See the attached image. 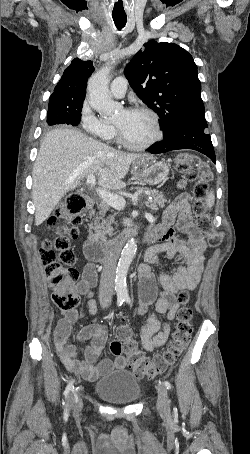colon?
<instances>
[{"mask_svg": "<svg viewBox=\"0 0 250 454\" xmlns=\"http://www.w3.org/2000/svg\"><path fill=\"white\" fill-rule=\"evenodd\" d=\"M178 170L186 181L197 180L193 188V210L196 223L207 236L212 247L218 246L223 234L215 230L203 203L208 183L212 179L210 166L199 156L192 153H181L176 157ZM86 208L85 198L77 193L67 196L47 221L45 231L55 237L43 242L40 257L44 266L48 286L52 292L54 304L63 311H72L79 304V296L75 291V283L79 278L76 267L77 258L70 248V242L77 238V226L81 223V213ZM190 296L187 291L178 294L182 305L177 314V324L166 351L148 359L138 350L132 338L130 328L123 324L118 328L117 340L110 344V351L115 356L125 355L128 365L137 376L154 378L165 371L185 351L192 332V311L187 307Z\"/></svg>", "mask_w": 250, "mask_h": 454, "instance_id": "1", "label": "colon"}]
</instances>
